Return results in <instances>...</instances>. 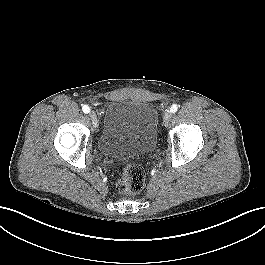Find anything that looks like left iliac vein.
Wrapping results in <instances>:
<instances>
[{"label":"left iliac vein","mask_w":265,"mask_h":265,"mask_svg":"<svg viewBox=\"0 0 265 265\" xmlns=\"http://www.w3.org/2000/svg\"><path fill=\"white\" fill-rule=\"evenodd\" d=\"M171 117H172V114L169 111L164 113L163 121H164V125L165 126H167L169 124V121L171 120Z\"/></svg>","instance_id":"obj_1"}]
</instances>
